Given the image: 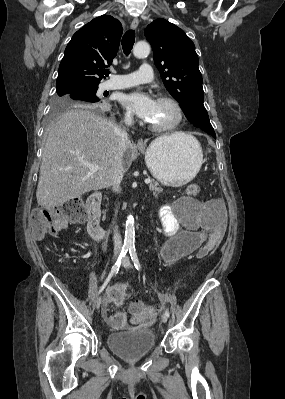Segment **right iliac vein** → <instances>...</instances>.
<instances>
[{
  "label": "right iliac vein",
  "mask_w": 285,
  "mask_h": 399,
  "mask_svg": "<svg viewBox=\"0 0 285 399\" xmlns=\"http://www.w3.org/2000/svg\"><path fill=\"white\" fill-rule=\"evenodd\" d=\"M115 258H116V255L113 257V261H114ZM101 303H102V296H98V297L95 299V306H96V308H99V307L101 306Z\"/></svg>",
  "instance_id": "63e3f726"
}]
</instances>
